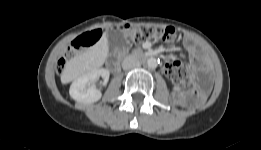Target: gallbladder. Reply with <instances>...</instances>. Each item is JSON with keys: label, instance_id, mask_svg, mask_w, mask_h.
<instances>
[{"label": "gallbladder", "instance_id": "gallbladder-1", "mask_svg": "<svg viewBox=\"0 0 261 150\" xmlns=\"http://www.w3.org/2000/svg\"><path fill=\"white\" fill-rule=\"evenodd\" d=\"M107 41L111 52L122 51L127 47L124 34L118 30H110L107 33Z\"/></svg>", "mask_w": 261, "mask_h": 150}]
</instances>
